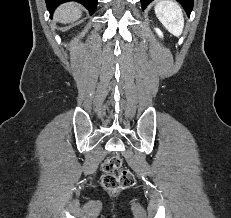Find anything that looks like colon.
I'll return each mask as SVG.
<instances>
[{"mask_svg": "<svg viewBox=\"0 0 231 218\" xmlns=\"http://www.w3.org/2000/svg\"><path fill=\"white\" fill-rule=\"evenodd\" d=\"M121 166L122 159L118 155H112L104 161L101 182L105 189L116 191L129 188L134 184L133 173L127 168L120 169Z\"/></svg>", "mask_w": 231, "mask_h": 218, "instance_id": "5ec220e1", "label": "colon"}]
</instances>
